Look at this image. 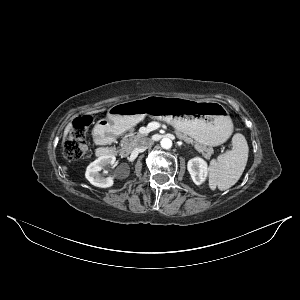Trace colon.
Masks as SVG:
<instances>
[{
    "mask_svg": "<svg viewBox=\"0 0 300 300\" xmlns=\"http://www.w3.org/2000/svg\"><path fill=\"white\" fill-rule=\"evenodd\" d=\"M90 123L91 120L88 116H83L74 122L64 148L68 160H79L85 154L87 150L86 136Z\"/></svg>",
    "mask_w": 300,
    "mask_h": 300,
    "instance_id": "colon-1",
    "label": "colon"
}]
</instances>
